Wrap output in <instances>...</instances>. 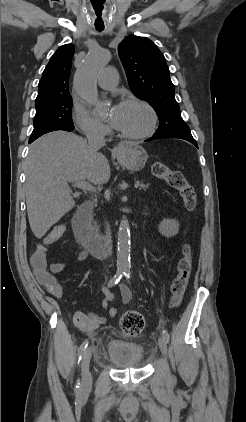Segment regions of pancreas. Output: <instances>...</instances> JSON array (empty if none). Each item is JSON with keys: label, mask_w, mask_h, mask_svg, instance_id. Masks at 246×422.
Listing matches in <instances>:
<instances>
[{"label": "pancreas", "mask_w": 246, "mask_h": 422, "mask_svg": "<svg viewBox=\"0 0 246 422\" xmlns=\"http://www.w3.org/2000/svg\"><path fill=\"white\" fill-rule=\"evenodd\" d=\"M148 186H149V184L145 185L143 183H141V185H140V187L143 188V189L148 188Z\"/></svg>", "instance_id": "cf45deb5"}]
</instances>
